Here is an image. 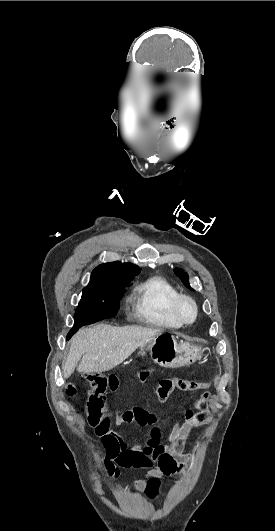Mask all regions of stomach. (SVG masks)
Wrapping results in <instances>:
<instances>
[{"label":"stomach","mask_w":275,"mask_h":531,"mask_svg":"<svg viewBox=\"0 0 275 531\" xmlns=\"http://www.w3.org/2000/svg\"><path fill=\"white\" fill-rule=\"evenodd\" d=\"M146 351H148L154 363H157L160 367H166V369L189 367V365L201 359L203 353L202 347H196V345H191V343H183V341L178 343L174 335L166 333V331L142 343L138 355L145 357Z\"/></svg>","instance_id":"obj_1"}]
</instances>
